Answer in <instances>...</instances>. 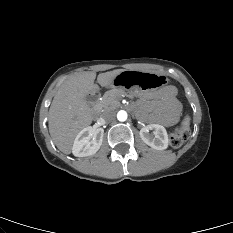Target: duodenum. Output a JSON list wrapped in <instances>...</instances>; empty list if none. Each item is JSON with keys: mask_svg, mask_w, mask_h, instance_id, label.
<instances>
[{"mask_svg": "<svg viewBox=\"0 0 233 233\" xmlns=\"http://www.w3.org/2000/svg\"><path fill=\"white\" fill-rule=\"evenodd\" d=\"M99 98H100V92L94 91L90 95V99L93 103V111L92 114L94 117H97L99 114Z\"/></svg>", "mask_w": 233, "mask_h": 233, "instance_id": "obj_1", "label": "duodenum"}]
</instances>
